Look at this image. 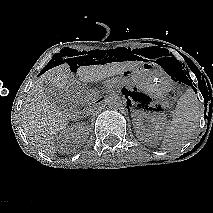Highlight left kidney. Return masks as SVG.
Returning a JSON list of instances; mask_svg holds the SVG:
<instances>
[{"label":"left kidney","mask_w":213,"mask_h":213,"mask_svg":"<svg viewBox=\"0 0 213 213\" xmlns=\"http://www.w3.org/2000/svg\"><path fill=\"white\" fill-rule=\"evenodd\" d=\"M132 117L136 135L143 141H150L156 138L164 127L163 118L155 113H148L138 110L132 114ZM145 122L152 123L151 129H146Z\"/></svg>","instance_id":"obj_1"}]
</instances>
